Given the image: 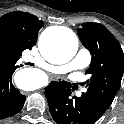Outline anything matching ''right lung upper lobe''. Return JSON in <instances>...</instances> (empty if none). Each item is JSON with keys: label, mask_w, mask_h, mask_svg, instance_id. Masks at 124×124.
Returning <instances> with one entry per match:
<instances>
[{"label": "right lung upper lobe", "mask_w": 124, "mask_h": 124, "mask_svg": "<svg viewBox=\"0 0 124 124\" xmlns=\"http://www.w3.org/2000/svg\"><path fill=\"white\" fill-rule=\"evenodd\" d=\"M44 26L43 21L33 14L14 11L0 17V39L11 47L6 58H0V64H16L22 52L32 49L38 38V31Z\"/></svg>", "instance_id": "right-lung-upper-lobe-1"}]
</instances>
